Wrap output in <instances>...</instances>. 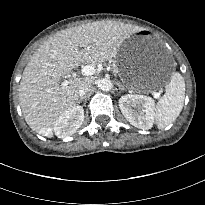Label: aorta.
Masks as SVG:
<instances>
[{
    "label": "aorta",
    "instance_id": "obj_1",
    "mask_svg": "<svg viewBox=\"0 0 205 205\" xmlns=\"http://www.w3.org/2000/svg\"><path fill=\"white\" fill-rule=\"evenodd\" d=\"M98 87L102 90V91H110L113 87L112 85V82L107 79V78H103V79H100L98 81Z\"/></svg>",
    "mask_w": 205,
    "mask_h": 205
}]
</instances>
